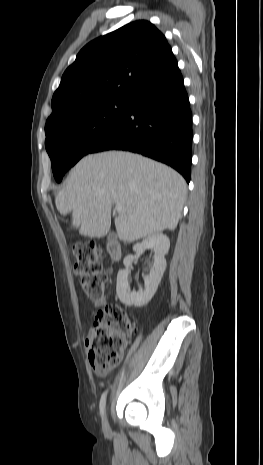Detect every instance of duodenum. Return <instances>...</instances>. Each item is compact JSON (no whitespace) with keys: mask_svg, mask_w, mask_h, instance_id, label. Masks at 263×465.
I'll use <instances>...</instances> for the list:
<instances>
[{"mask_svg":"<svg viewBox=\"0 0 263 465\" xmlns=\"http://www.w3.org/2000/svg\"><path fill=\"white\" fill-rule=\"evenodd\" d=\"M107 251L109 253L110 258L113 261H117L121 258V246L118 242H110L107 244Z\"/></svg>","mask_w":263,"mask_h":465,"instance_id":"1","label":"duodenum"}]
</instances>
